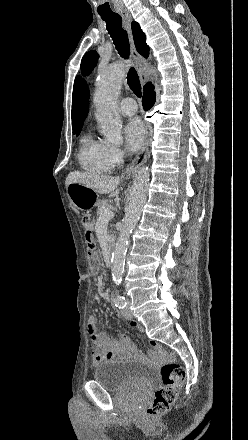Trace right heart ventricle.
Wrapping results in <instances>:
<instances>
[{"instance_id": "obj_1", "label": "right heart ventricle", "mask_w": 248, "mask_h": 440, "mask_svg": "<svg viewBox=\"0 0 248 440\" xmlns=\"http://www.w3.org/2000/svg\"><path fill=\"white\" fill-rule=\"evenodd\" d=\"M78 161L83 170L92 174L109 173L112 169L106 159V145L90 134L81 139Z\"/></svg>"}]
</instances>
